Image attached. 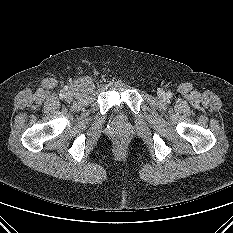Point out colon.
Returning a JSON list of instances; mask_svg holds the SVG:
<instances>
[{"instance_id":"1","label":"colon","mask_w":233,"mask_h":233,"mask_svg":"<svg viewBox=\"0 0 233 233\" xmlns=\"http://www.w3.org/2000/svg\"><path fill=\"white\" fill-rule=\"evenodd\" d=\"M123 143H124V142H123V140H122V139H119V140L117 141V145H118V146H122V145H123Z\"/></svg>"}]
</instances>
